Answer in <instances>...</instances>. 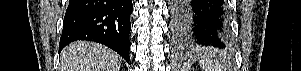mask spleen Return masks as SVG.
<instances>
[{"label": "spleen", "mask_w": 301, "mask_h": 71, "mask_svg": "<svg viewBox=\"0 0 301 71\" xmlns=\"http://www.w3.org/2000/svg\"><path fill=\"white\" fill-rule=\"evenodd\" d=\"M200 65L205 71H222L223 68L219 64H214L212 61H202Z\"/></svg>", "instance_id": "3e777b00"}]
</instances>
